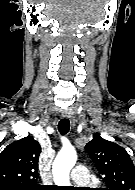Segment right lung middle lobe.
I'll return each mask as SVG.
<instances>
[{
	"instance_id": "obj_1",
	"label": "right lung middle lobe",
	"mask_w": 135,
	"mask_h": 190,
	"mask_svg": "<svg viewBox=\"0 0 135 190\" xmlns=\"http://www.w3.org/2000/svg\"><path fill=\"white\" fill-rule=\"evenodd\" d=\"M39 189H37V190H39ZM0 190H18V189L17 188H12V187H4V188L2 187V188H0Z\"/></svg>"
}]
</instances>
